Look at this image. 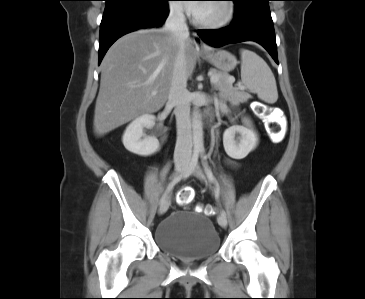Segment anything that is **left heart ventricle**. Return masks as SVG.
<instances>
[{
  "label": "left heart ventricle",
  "instance_id": "1",
  "mask_svg": "<svg viewBox=\"0 0 365 299\" xmlns=\"http://www.w3.org/2000/svg\"><path fill=\"white\" fill-rule=\"evenodd\" d=\"M227 9L223 2H210L202 4L201 9L195 15L204 22H213L222 19L226 15Z\"/></svg>",
  "mask_w": 365,
  "mask_h": 299
}]
</instances>
